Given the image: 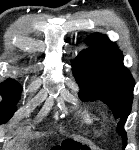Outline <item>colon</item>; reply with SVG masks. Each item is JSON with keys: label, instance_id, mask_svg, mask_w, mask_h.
Here are the masks:
<instances>
[{"label": "colon", "instance_id": "1", "mask_svg": "<svg viewBox=\"0 0 139 150\" xmlns=\"http://www.w3.org/2000/svg\"><path fill=\"white\" fill-rule=\"evenodd\" d=\"M51 150H88V149L79 147L72 141H65L62 145L54 147Z\"/></svg>", "mask_w": 139, "mask_h": 150}]
</instances>
